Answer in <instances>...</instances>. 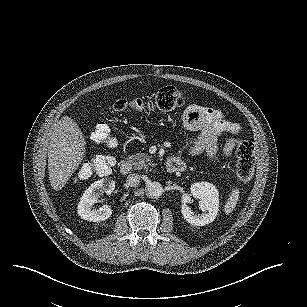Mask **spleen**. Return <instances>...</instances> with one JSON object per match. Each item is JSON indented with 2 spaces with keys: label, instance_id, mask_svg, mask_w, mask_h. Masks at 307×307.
Segmentation results:
<instances>
[{
  "label": "spleen",
  "instance_id": "obj_1",
  "mask_svg": "<svg viewBox=\"0 0 307 307\" xmlns=\"http://www.w3.org/2000/svg\"><path fill=\"white\" fill-rule=\"evenodd\" d=\"M239 197V192L234 191L233 194L230 196V200L228 203L225 205V210L227 213H231L233 208L235 207Z\"/></svg>",
  "mask_w": 307,
  "mask_h": 307
}]
</instances>
